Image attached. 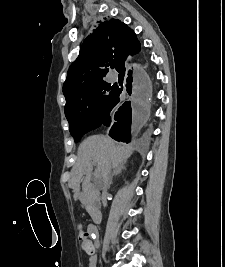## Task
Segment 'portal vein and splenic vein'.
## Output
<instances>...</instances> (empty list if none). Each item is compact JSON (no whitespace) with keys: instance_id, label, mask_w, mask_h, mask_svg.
I'll return each instance as SVG.
<instances>
[{"instance_id":"obj_1","label":"portal vein and splenic vein","mask_w":225,"mask_h":267,"mask_svg":"<svg viewBox=\"0 0 225 267\" xmlns=\"http://www.w3.org/2000/svg\"><path fill=\"white\" fill-rule=\"evenodd\" d=\"M98 175V173L97 172H95V176H97Z\"/></svg>"}]
</instances>
